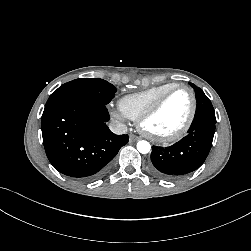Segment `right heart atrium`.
<instances>
[{"label": "right heart atrium", "mask_w": 251, "mask_h": 251, "mask_svg": "<svg viewBox=\"0 0 251 251\" xmlns=\"http://www.w3.org/2000/svg\"><path fill=\"white\" fill-rule=\"evenodd\" d=\"M110 114L113 118H115L117 120H124L125 119V115L120 110L110 109Z\"/></svg>", "instance_id": "1"}]
</instances>
